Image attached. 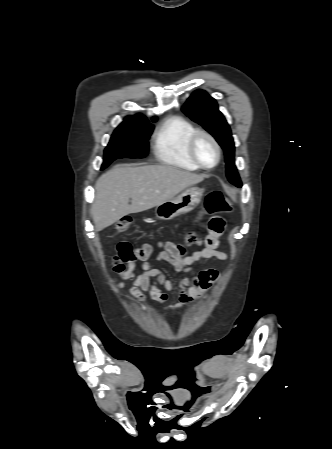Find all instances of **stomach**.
Instances as JSON below:
<instances>
[{"instance_id": "obj_1", "label": "stomach", "mask_w": 332, "mask_h": 449, "mask_svg": "<svg viewBox=\"0 0 332 449\" xmlns=\"http://www.w3.org/2000/svg\"><path fill=\"white\" fill-rule=\"evenodd\" d=\"M203 192L204 190L201 188L190 187L177 197L156 206L155 214L162 220H171L186 214L199 205Z\"/></svg>"}]
</instances>
